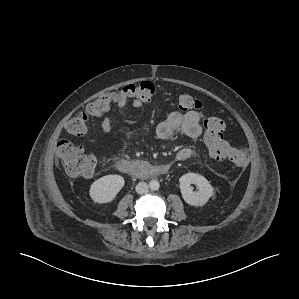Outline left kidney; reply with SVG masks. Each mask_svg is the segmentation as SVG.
Returning <instances> with one entry per match:
<instances>
[{
    "label": "left kidney",
    "instance_id": "left-kidney-1",
    "mask_svg": "<svg viewBox=\"0 0 299 299\" xmlns=\"http://www.w3.org/2000/svg\"><path fill=\"white\" fill-rule=\"evenodd\" d=\"M179 182L182 197L191 206H203L214 195L213 187L202 175L186 173L180 177ZM191 184H195L199 190L193 191Z\"/></svg>",
    "mask_w": 299,
    "mask_h": 299
}]
</instances>
